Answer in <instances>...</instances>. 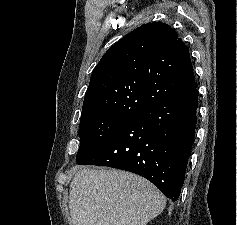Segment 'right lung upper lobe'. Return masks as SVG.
Wrapping results in <instances>:
<instances>
[{
  "instance_id": "obj_1",
  "label": "right lung upper lobe",
  "mask_w": 237,
  "mask_h": 225,
  "mask_svg": "<svg viewBox=\"0 0 237 225\" xmlns=\"http://www.w3.org/2000/svg\"><path fill=\"white\" fill-rule=\"evenodd\" d=\"M195 85L189 51L176 31L148 23L115 43L96 65L81 119L134 116Z\"/></svg>"
}]
</instances>
